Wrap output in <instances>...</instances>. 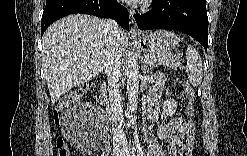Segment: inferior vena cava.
<instances>
[{
  "instance_id": "inferior-vena-cava-1",
  "label": "inferior vena cava",
  "mask_w": 247,
  "mask_h": 156,
  "mask_svg": "<svg viewBox=\"0 0 247 156\" xmlns=\"http://www.w3.org/2000/svg\"><path fill=\"white\" fill-rule=\"evenodd\" d=\"M105 33L110 37L111 50L106 55V61L104 63V70L108 79V93L110 108L112 112V126L113 133L116 138H124L125 133L122 127L123 121V99L120 96L119 91V79L121 69V57L122 53L118 47L120 29L118 24L108 19L105 23Z\"/></svg>"
}]
</instances>
